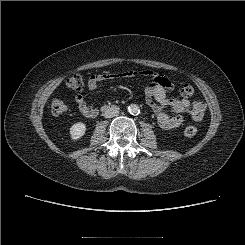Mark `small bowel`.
<instances>
[{
	"mask_svg": "<svg viewBox=\"0 0 245 245\" xmlns=\"http://www.w3.org/2000/svg\"><path fill=\"white\" fill-rule=\"evenodd\" d=\"M135 76H140L147 80L144 92L145 100L152 109L160 128L173 130L180 127L184 121V113L189 114L191 119L197 122L203 119L206 111L204 102L191 101L187 98L168 97L167 93L174 89L173 83L166 76L150 70L93 74L89 77L88 86L94 90L104 80ZM75 102L83 116L87 118L96 117L97 109L90 106L82 95L78 94L75 97Z\"/></svg>",
	"mask_w": 245,
	"mask_h": 245,
	"instance_id": "obj_1",
	"label": "small bowel"
}]
</instances>
